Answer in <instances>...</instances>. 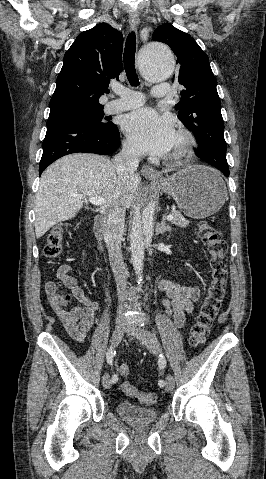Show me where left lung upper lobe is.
<instances>
[{"label": "left lung upper lobe", "instance_id": "obj_1", "mask_svg": "<svg viewBox=\"0 0 266 479\" xmlns=\"http://www.w3.org/2000/svg\"><path fill=\"white\" fill-rule=\"evenodd\" d=\"M152 38L168 44L177 57L180 67L172 82H179L183 89L175 109L179 120L195 135L196 155L216 168L228 167L217 80L207 54L189 34L171 24L156 28Z\"/></svg>", "mask_w": 266, "mask_h": 479}]
</instances>
